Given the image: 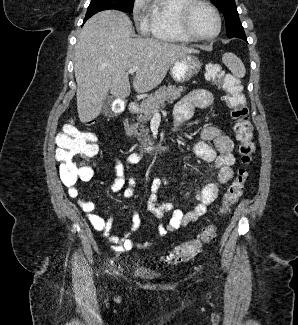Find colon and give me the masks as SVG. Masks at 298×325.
<instances>
[{
  "label": "colon",
  "mask_w": 298,
  "mask_h": 325,
  "mask_svg": "<svg viewBox=\"0 0 298 325\" xmlns=\"http://www.w3.org/2000/svg\"><path fill=\"white\" fill-rule=\"evenodd\" d=\"M206 78L222 87L225 101L231 109V117L235 120L234 133L239 142L241 167L227 188L221 205V212L227 213L238 202L246 185L247 168L255 152L253 127L249 120L247 99L242 92L239 80L216 63L206 65ZM56 142V158L60 162L59 174L62 182L70 187L75 186L79 181L91 179L93 176L91 162L99 151L95 136L79 130L73 124H68L58 134ZM215 237V227L207 226L198 238L182 243L164 255L162 262L179 264L188 261L201 251L204 244Z\"/></svg>",
  "instance_id": "colon-1"
}]
</instances>
